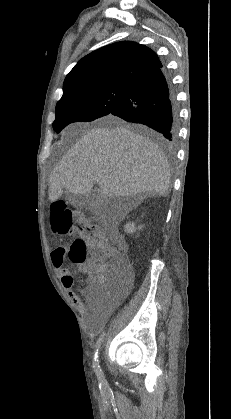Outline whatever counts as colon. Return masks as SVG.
Segmentation results:
<instances>
[{"label": "colon", "mask_w": 231, "mask_h": 419, "mask_svg": "<svg viewBox=\"0 0 231 419\" xmlns=\"http://www.w3.org/2000/svg\"><path fill=\"white\" fill-rule=\"evenodd\" d=\"M51 211L52 226L57 232L61 234L76 232L81 235L70 246L68 252L70 261L85 264L93 284H107L112 291L118 290L121 282L130 278L131 269L128 262L116 254L110 244L100 238L95 226L82 215L75 214L63 202L53 203ZM61 262V258L55 259V263Z\"/></svg>", "instance_id": "5ec220e1"}]
</instances>
